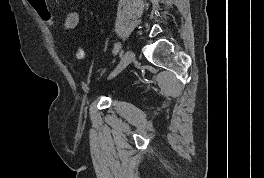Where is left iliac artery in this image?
<instances>
[{"instance_id": "1", "label": "left iliac artery", "mask_w": 264, "mask_h": 178, "mask_svg": "<svg viewBox=\"0 0 264 178\" xmlns=\"http://www.w3.org/2000/svg\"><path fill=\"white\" fill-rule=\"evenodd\" d=\"M121 49V43H116L115 46H114V54H117L119 52V50Z\"/></svg>"}]
</instances>
